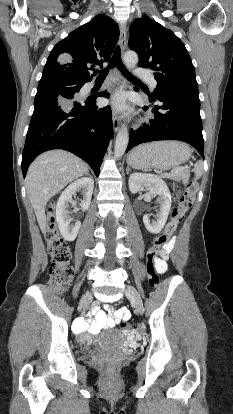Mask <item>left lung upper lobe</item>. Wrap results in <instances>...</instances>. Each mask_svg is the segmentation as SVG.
Masks as SVG:
<instances>
[{
	"label": "left lung upper lobe",
	"mask_w": 233,
	"mask_h": 414,
	"mask_svg": "<svg viewBox=\"0 0 233 414\" xmlns=\"http://www.w3.org/2000/svg\"><path fill=\"white\" fill-rule=\"evenodd\" d=\"M129 47L139 56V66L155 71L158 93L178 89H198L194 66L182 41L148 16L130 27Z\"/></svg>",
	"instance_id": "obj_1"
}]
</instances>
